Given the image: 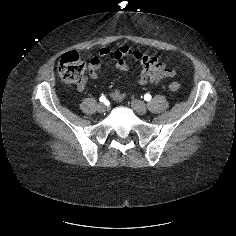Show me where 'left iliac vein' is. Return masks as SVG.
<instances>
[{"label":"left iliac vein","instance_id":"4c4485c4","mask_svg":"<svg viewBox=\"0 0 236 236\" xmlns=\"http://www.w3.org/2000/svg\"><path fill=\"white\" fill-rule=\"evenodd\" d=\"M132 108L137 112L138 114H145L147 112V107L146 105L140 101V100H133L131 103Z\"/></svg>","mask_w":236,"mask_h":236}]
</instances>
